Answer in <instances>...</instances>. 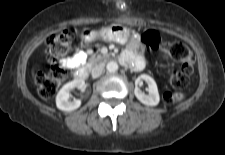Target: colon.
<instances>
[{
	"label": "colon",
	"mask_w": 225,
	"mask_h": 155,
	"mask_svg": "<svg viewBox=\"0 0 225 155\" xmlns=\"http://www.w3.org/2000/svg\"><path fill=\"white\" fill-rule=\"evenodd\" d=\"M75 35L74 29H65L48 36L45 41L48 54L53 58L65 55L70 50ZM141 39L149 48L162 52L165 57L178 64L169 79L172 90L167 91L163 96L167 105L176 104L181 100L182 93L180 91L187 86L194 70L192 52L185 43L180 41L161 42L158 34L154 31H147ZM66 74V68L60 62L53 60L50 70L46 73H39L37 76L39 95L45 99L51 98L65 79Z\"/></svg>",
	"instance_id": "1"
}]
</instances>
